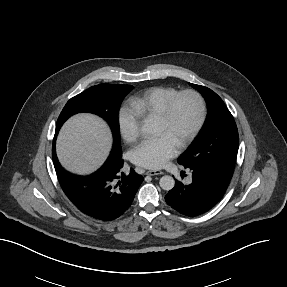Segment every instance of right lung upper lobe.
<instances>
[{
	"mask_svg": "<svg viewBox=\"0 0 287 287\" xmlns=\"http://www.w3.org/2000/svg\"><path fill=\"white\" fill-rule=\"evenodd\" d=\"M62 125L58 124L57 125V128H56V132H55V137H54V140H53V147H52V157H54L56 155V152H55V141H56V136L58 134V131L60 129ZM111 156H116L115 154H112Z\"/></svg>",
	"mask_w": 287,
	"mask_h": 287,
	"instance_id": "obj_1",
	"label": "right lung upper lobe"
}]
</instances>
